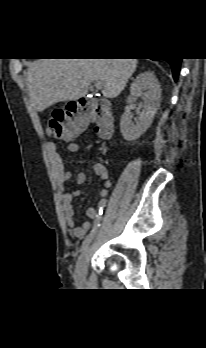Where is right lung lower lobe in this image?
I'll return each instance as SVG.
<instances>
[{"instance_id":"1","label":"right lung lower lobe","mask_w":206,"mask_h":348,"mask_svg":"<svg viewBox=\"0 0 206 348\" xmlns=\"http://www.w3.org/2000/svg\"><path fill=\"white\" fill-rule=\"evenodd\" d=\"M165 60L171 65L173 77H174V80L176 81L178 79V75L180 72L181 59L180 58H169V59H165Z\"/></svg>"}]
</instances>
